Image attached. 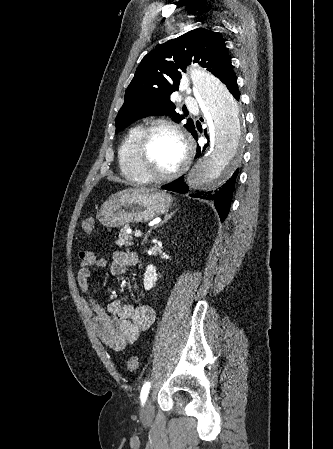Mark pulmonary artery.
Returning a JSON list of instances; mask_svg holds the SVG:
<instances>
[{
	"instance_id": "pulmonary-artery-1",
	"label": "pulmonary artery",
	"mask_w": 333,
	"mask_h": 449,
	"mask_svg": "<svg viewBox=\"0 0 333 449\" xmlns=\"http://www.w3.org/2000/svg\"><path fill=\"white\" fill-rule=\"evenodd\" d=\"M184 101L186 106L190 109H194L197 106L195 99L190 96L185 97Z\"/></svg>"
}]
</instances>
